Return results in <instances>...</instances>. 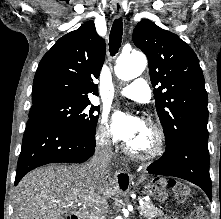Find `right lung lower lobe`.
<instances>
[{
	"label": "right lung lower lobe",
	"instance_id": "1",
	"mask_svg": "<svg viewBox=\"0 0 221 219\" xmlns=\"http://www.w3.org/2000/svg\"><path fill=\"white\" fill-rule=\"evenodd\" d=\"M95 137L56 122L29 118L18 159L15 185L32 169L56 162L82 163L94 153Z\"/></svg>",
	"mask_w": 221,
	"mask_h": 219
}]
</instances>
